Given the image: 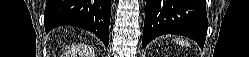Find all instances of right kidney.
<instances>
[{"label":"right kidney","mask_w":249,"mask_h":57,"mask_svg":"<svg viewBox=\"0 0 249 57\" xmlns=\"http://www.w3.org/2000/svg\"><path fill=\"white\" fill-rule=\"evenodd\" d=\"M84 51L87 52V53H89L91 55V57L94 56L90 47H88V48L85 47ZM68 55H71V53H68Z\"/></svg>","instance_id":"right-kidney-1"}]
</instances>
